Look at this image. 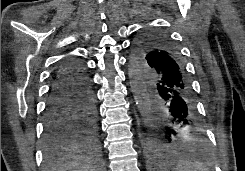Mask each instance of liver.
I'll use <instances>...</instances> for the list:
<instances>
[{
  "label": "liver",
  "instance_id": "6515ba94",
  "mask_svg": "<svg viewBox=\"0 0 245 171\" xmlns=\"http://www.w3.org/2000/svg\"><path fill=\"white\" fill-rule=\"evenodd\" d=\"M56 171H96L95 168L78 162H69L57 168Z\"/></svg>",
  "mask_w": 245,
  "mask_h": 171
}]
</instances>
